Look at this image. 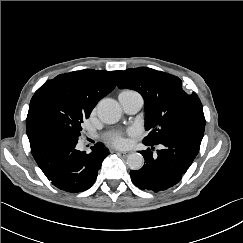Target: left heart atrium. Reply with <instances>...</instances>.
Wrapping results in <instances>:
<instances>
[{"label":"left heart atrium","instance_id":"39dd6f15","mask_svg":"<svg viewBox=\"0 0 243 243\" xmlns=\"http://www.w3.org/2000/svg\"><path fill=\"white\" fill-rule=\"evenodd\" d=\"M134 131L132 129L128 130L127 135H133ZM107 142L114 147H125L128 143L126 134L119 131L110 132L106 137Z\"/></svg>","mask_w":243,"mask_h":243}]
</instances>
